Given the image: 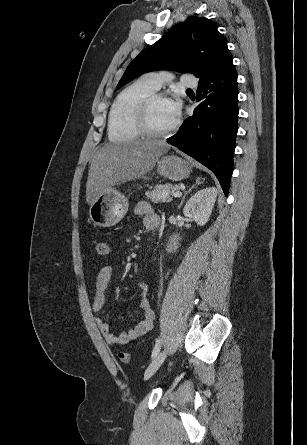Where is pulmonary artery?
<instances>
[{"instance_id":"obj_1","label":"pulmonary artery","mask_w":307,"mask_h":445,"mask_svg":"<svg viewBox=\"0 0 307 445\" xmlns=\"http://www.w3.org/2000/svg\"><path fill=\"white\" fill-rule=\"evenodd\" d=\"M170 75L171 72L168 69H153L147 72L146 77L149 79V85L154 89H158L165 78L167 81L172 80ZM198 87L199 84L197 81H194L193 75H180L177 83L178 90H197Z\"/></svg>"}]
</instances>
